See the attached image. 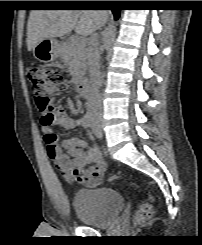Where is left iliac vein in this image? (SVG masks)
I'll return each mask as SVG.
<instances>
[{"label": "left iliac vein", "instance_id": "left-iliac-vein-1", "mask_svg": "<svg viewBox=\"0 0 202 245\" xmlns=\"http://www.w3.org/2000/svg\"><path fill=\"white\" fill-rule=\"evenodd\" d=\"M92 133L97 137H102L101 124L100 122H92L91 124Z\"/></svg>", "mask_w": 202, "mask_h": 245}]
</instances>
